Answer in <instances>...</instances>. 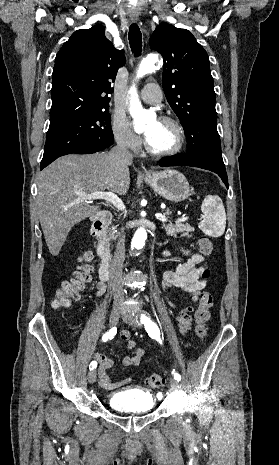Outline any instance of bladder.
Returning a JSON list of instances; mask_svg holds the SVG:
<instances>
[{"mask_svg": "<svg viewBox=\"0 0 279 465\" xmlns=\"http://www.w3.org/2000/svg\"><path fill=\"white\" fill-rule=\"evenodd\" d=\"M108 405L115 411L149 413L156 405L154 395L141 387H130L107 397Z\"/></svg>", "mask_w": 279, "mask_h": 465, "instance_id": "31cf9c89", "label": "bladder"}]
</instances>
